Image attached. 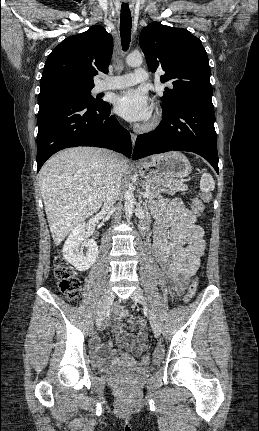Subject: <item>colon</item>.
Segmentation results:
<instances>
[{
  "mask_svg": "<svg viewBox=\"0 0 259 431\" xmlns=\"http://www.w3.org/2000/svg\"><path fill=\"white\" fill-rule=\"evenodd\" d=\"M211 201L209 193H202L200 198L191 203V209L196 219L201 220L204 217L202 209L205 203ZM54 276L57 280L60 291L71 301L78 300L80 297V280L74 274L72 268L64 260L62 256H57L54 261ZM198 280L194 277L188 286L185 299L186 303L190 302L195 296ZM150 361V354H145L142 357V362L147 364Z\"/></svg>",
  "mask_w": 259,
  "mask_h": 431,
  "instance_id": "colon-1",
  "label": "colon"
}]
</instances>
